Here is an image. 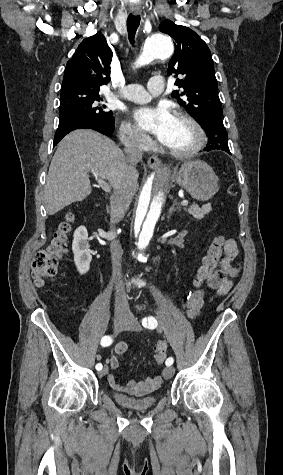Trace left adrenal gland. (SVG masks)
<instances>
[{"label":"left adrenal gland","instance_id":"obj_1","mask_svg":"<svg viewBox=\"0 0 283 475\" xmlns=\"http://www.w3.org/2000/svg\"><path fill=\"white\" fill-rule=\"evenodd\" d=\"M175 206H177L176 200H174V202H173L171 208H169L167 218H170V216H171V214H173V212H177L178 206H177V208H175ZM178 210H179V212H180V208H178Z\"/></svg>","mask_w":283,"mask_h":475}]
</instances>
